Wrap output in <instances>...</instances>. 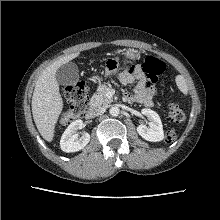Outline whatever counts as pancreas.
<instances>
[{
	"mask_svg": "<svg viewBox=\"0 0 220 220\" xmlns=\"http://www.w3.org/2000/svg\"><path fill=\"white\" fill-rule=\"evenodd\" d=\"M110 90L106 85H102L98 88L97 93L94 94L90 100V105L93 107L105 108L113 100L106 96V93Z\"/></svg>",
	"mask_w": 220,
	"mask_h": 220,
	"instance_id": "1",
	"label": "pancreas"
}]
</instances>
